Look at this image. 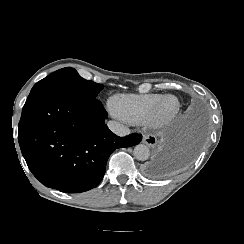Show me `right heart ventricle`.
Here are the masks:
<instances>
[{"label": "right heart ventricle", "instance_id": "1", "mask_svg": "<svg viewBox=\"0 0 244 244\" xmlns=\"http://www.w3.org/2000/svg\"><path fill=\"white\" fill-rule=\"evenodd\" d=\"M158 95H119L113 99L112 110L124 122L143 124L151 120Z\"/></svg>", "mask_w": 244, "mask_h": 244}]
</instances>
